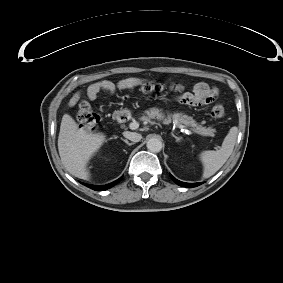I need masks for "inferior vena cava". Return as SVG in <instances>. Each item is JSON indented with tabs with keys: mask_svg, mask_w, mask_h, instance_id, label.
<instances>
[{
	"mask_svg": "<svg viewBox=\"0 0 283 283\" xmlns=\"http://www.w3.org/2000/svg\"><path fill=\"white\" fill-rule=\"evenodd\" d=\"M124 136L133 142H139L142 138L141 134L136 132H124Z\"/></svg>",
	"mask_w": 283,
	"mask_h": 283,
	"instance_id": "1",
	"label": "inferior vena cava"
}]
</instances>
